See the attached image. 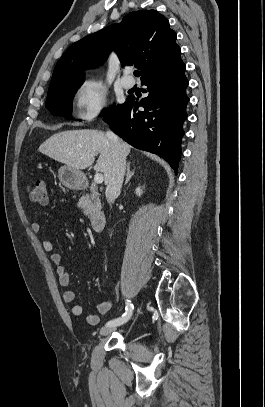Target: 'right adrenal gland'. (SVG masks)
I'll return each mask as SVG.
<instances>
[{
    "mask_svg": "<svg viewBox=\"0 0 265 407\" xmlns=\"http://www.w3.org/2000/svg\"><path fill=\"white\" fill-rule=\"evenodd\" d=\"M134 175V171H130V162L127 163V173L125 179V185L129 182L131 177Z\"/></svg>",
    "mask_w": 265,
    "mask_h": 407,
    "instance_id": "obj_1",
    "label": "right adrenal gland"
}]
</instances>
